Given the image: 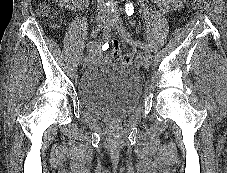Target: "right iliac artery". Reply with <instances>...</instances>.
I'll return each mask as SVG.
<instances>
[{"instance_id": "right-iliac-artery-1", "label": "right iliac artery", "mask_w": 227, "mask_h": 173, "mask_svg": "<svg viewBox=\"0 0 227 173\" xmlns=\"http://www.w3.org/2000/svg\"><path fill=\"white\" fill-rule=\"evenodd\" d=\"M111 35V29L109 28V26L105 27V29L103 30V37H101V39H99V41H90L88 43V49H92L95 47H100V45H103L104 43H107V39L110 37ZM84 58V56H82V59Z\"/></svg>"}]
</instances>
